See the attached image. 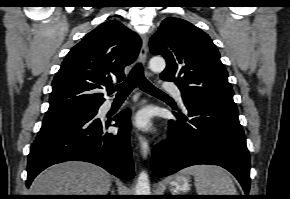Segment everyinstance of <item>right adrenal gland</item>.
<instances>
[{
	"mask_svg": "<svg viewBox=\"0 0 290 199\" xmlns=\"http://www.w3.org/2000/svg\"><path fill=\"white\" fill-rule=\"evenodd\" d=\"M114 192H115V191H114V188H112V189H111V195H115Z\"/></svg>",
	"mask_w": 290,
	"mask_h": 199,
	"instance_id": "obj_1",
	"label": "right adrenal gland"
}]
</instances>
